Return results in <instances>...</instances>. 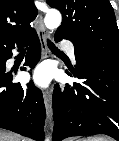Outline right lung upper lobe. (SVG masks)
Segmentation results:
<instances>
[{
  "mask_svg": "<svg viewBox=\"0 0 119 141\" xmlns=\"http://www.w3.org/2000/svg\"><path fill=\"white\" fill-rule=\"evenodd\" d=\"M37 14L33 0H0V52L34 32L30 23Z\"/></svg>",
  "mask_w": 119,
  "mask_h": 141,
  "instance_id": "right-lung-upper-lobe-1",
  "label": "right lung upper lobe"
}]
</instances>
